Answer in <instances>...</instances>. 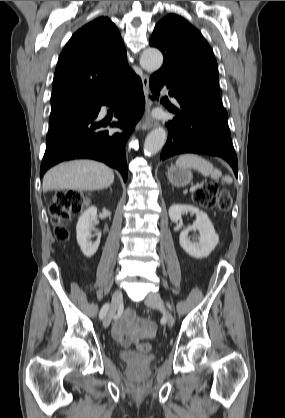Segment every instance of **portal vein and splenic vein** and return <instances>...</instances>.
Masks as SVG:
<instances>
[{
	"mask_svg": "<svg viewBox=\"0 0 285 418\" xmlns=\"http://www.w3.org/2000/svg\"><path fill=\"white\" fill-rule=\"evenodd\" d=\"M198 187H199V184L193 185V186L190 188V192L195 191Z\"/></svg>",
	"mask_w": 285,
	"mask_h": 418,
	"instance_id": "obj_1",
	"label": "portal vein and splenic vein"
}]
</instances>
